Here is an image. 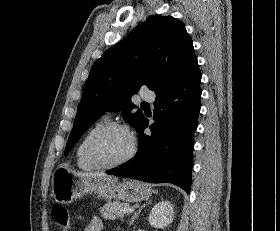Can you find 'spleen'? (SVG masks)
Masks as SVG:
<instances>
[{
    "mask_svg": "<svg viewBox=\"0 0 280 231\" xmlns=\"http://www.w3.org/2000/svg\"><path fill=\"white\" fill-rule=\"evenodd\" d=\"M155 193H157L156 189H154Z\"/></svg>",
    "mask_w": 280,
    "mask_h": 231,
    "instance_id": "1",
    "label": "spleen"
}]
</instances>
